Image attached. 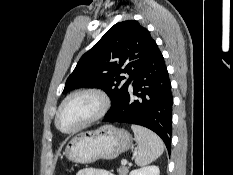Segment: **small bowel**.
Returning a JSON list of instances; mask_svg holds the SVG:
<instances>
[{"label":"small bowel","mask_w":233,"mask_h":175,"mask_svg":"<svg viewBox=\"0 0 233 175\" xmlns=\"http://www.w3.org/2000/svg\"><path fill=\"white\" fill-rule=\"evenodd\" d=\"M76 175H115L106 170H98L95 168H83Z\"/></svg>","instance_id":"1"}]
</instances>
